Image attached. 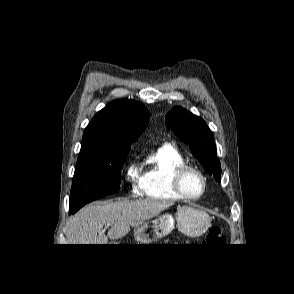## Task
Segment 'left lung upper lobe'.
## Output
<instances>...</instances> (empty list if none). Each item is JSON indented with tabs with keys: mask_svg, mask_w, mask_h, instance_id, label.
Segmentation results:
<instances>
[{
	"mask_svg": "<svg viewBox=\"0 0 294 294\" xmlns=\"http://www.w3.org/2000/svg\"><path fill=\"white\" fill-rule=\"evenodd\" d=\"M165 121L167 128L172 130L181 141L188 144L192 154L202 166L217 181H220L221 166L217 157L214 136L204 120L181 107H173L167 113Z\"/></svg>",
	"mask_w": 294,
	"mask_h": 294,
	"instance_id": "obj_1",
	"label": "left lung upper lobe"
}]
</instances>
